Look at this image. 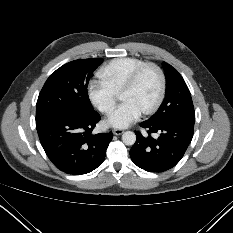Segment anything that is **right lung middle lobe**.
Returning a JSON list of instances; mask_svg holds the SVG:
<instances>
[{
	"label": "right lung middle lobe",
	"mask_w": 233,
	"mask_h": 233,
	"mask_svg": "<svg viewBox=\"0 0 233 233\" xmlns=\"http://www.w3.org/2000/svg\"><path fill=\"white\" fill-rule=\"evenodd\" d=\"M101 58L71 61L53 72L45 82L36 105V120L52 114H86L93 110L87 86Z\"/></svg>",
	"instance_id": "obj_1"
}]
</instances>
